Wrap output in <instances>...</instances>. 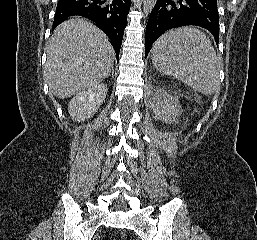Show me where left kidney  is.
Returning <instances> with one entry per match:
<instances>
[{"label": "left kidney", "mask_w": 257, "mask_h": 240, "mask_svg": "<svg viewBox=\"0 0 257 240\" xmlns=\"http://www.w3.org/2000/svg\"><path fill=\"white\" fill-rule=\"evenodd\" d=\"M181 109L178 98L161 92L154 105L156 117L164 121H175L179 116Z\"/></svg>", "instance_id": "5707ae66"}]
</instances>
